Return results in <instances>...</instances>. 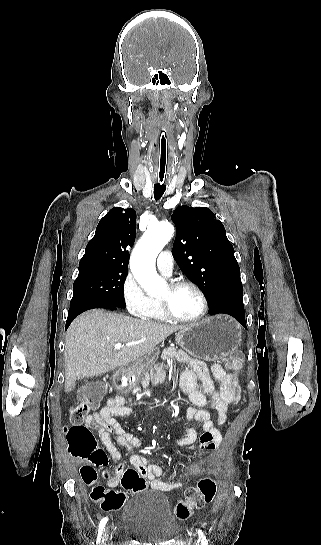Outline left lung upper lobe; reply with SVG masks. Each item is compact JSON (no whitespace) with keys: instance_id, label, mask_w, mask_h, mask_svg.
<instances>
[{"instance_id":"left-lung-upper-lobe-1","label":"left lung upper lobe","mask_w":321,"mask_h":545,"mask_svg":"<svg viewBox=\"0 0 321 545\" xmlns=\"http://www.w3.org/2000/svg\"><path fill=\"white\" fill-rule=\"evenodd\" d=\"M206 207L183 205L172 221L177 234L173 254L181 271L204 293L208 301L222 289L240 284V269L223 224Z\"/></svg>"}]
</instances>
